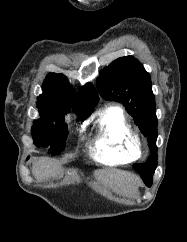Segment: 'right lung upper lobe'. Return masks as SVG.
Segmentation results:
<instances>
[{
    "instance_id": "1",
    "label": "right lung upper lobe",
    "mask_w": 187,
    "mask_h": 242,
    "mask_svg": "<svg viewBox=\"0 0 187 242\" xmlns=\"http://www.w3.org/2000/svg\"><path fill=\"white\" fill-rule=\"evenodd\" d=\"M43 94L37 97L40 116L55 117L73 110L79 117H88L98 103L92 84L88 83L78 92L71 91L70 83L62 74L50 73L42 85Z\"/></svg>"
}]
</instances>
